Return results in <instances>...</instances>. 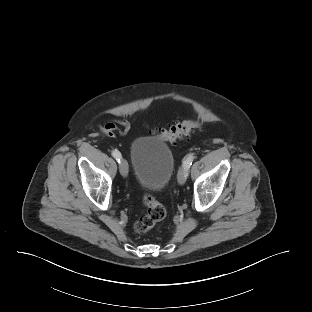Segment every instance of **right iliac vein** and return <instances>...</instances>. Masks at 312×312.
I'll return each mask as SVG.
<instances>
[{"label": "right iliac vein", "instance_id": "1", "mask_svg": "<svg viewBox=\"0 0 312 312\" xmlns=\"http://www.w3.org/2000/svg\"><path fill=\"white\" fill-rule=\"evenodd\" d=\"M119 170L122 176L126 177L128 175V164L126 160L122 159L119 162Z\"/></svg>", "mask_w": 312, "mask_h": 312}]
</instances>
